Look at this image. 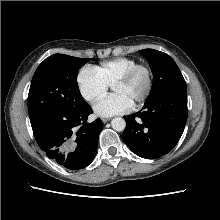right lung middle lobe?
Returning a JSON list of instances; mask_svg holds the SVG:
<instances>
[{"instance_id":"obj_1","label":"right lung middle lobe","mask_w":220,"mask_h":220,"mask_svg":"<svg viewBox=\"0 0 220 220\" xmlns=\"http://www.w3.org/2000/svg\"><path fill=\"white\" fill-rule=\"evenodd\" d=\"M89 60L65 54L46 58L35 71L29 89L30 119L55 109L76 112L85 108L88 104L80 94L77 71Z\"/></svg>"}]
</instances>
